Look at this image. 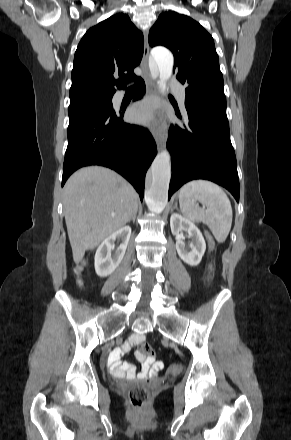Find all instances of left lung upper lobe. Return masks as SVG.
Listing matches in <instances>:
<instances>
[{
	"instance_id": "obj_1",
	"label": "left lung upper lobe",
	"mask_w": 291,
	"mask_h": 440,
	"mask_svg": "<svg viewBox=\"0 0 291 440\" xmlns=\"http://www.w3.org/2000/svg\"><path fill=\"white\" fill-rule=\"evenodd\" d=\"M149 44L173 52V73L187 86L186 96L226 104L213 38L198 22L176 12L162 13L149 32Z\"/></svg>"
}]
</instances>
